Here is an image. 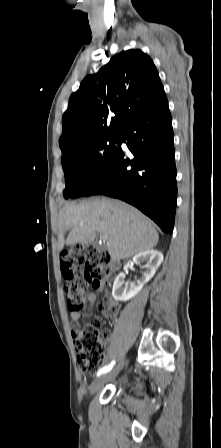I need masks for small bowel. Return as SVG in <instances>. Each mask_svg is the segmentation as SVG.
<instances>
[{
	"label": "small bowel",
	"mask_w": 221,
	"mask_h": 448,
	"mask_svg": "<svg viewBox=\"0 0 221 448\" xmlns=\"http://www.w3.org/2000/svg\"><path fill=\"white\" fill-rule=\"evenodd\" d=\"M101 290H103V287H101ZM86 300L87 303L94 304L97 300V296L95 293H90ZM99 309L104 317L114 318L118 312V304L114 297L106 292L103 301L99 305ZM81 318L82 313L80 311H73L71 313L73 323L77 324Z\"/></svg>",
	"instance_id": "small-bowel-1"
}]
</instances>
